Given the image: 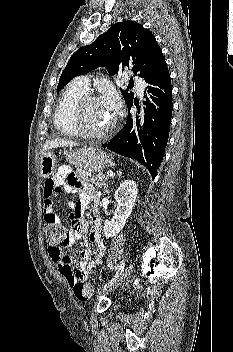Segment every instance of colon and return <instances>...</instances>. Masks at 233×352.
Wrapping results in <instances>:
<instances>
[{
    "instance_id": "colon-1",
    "label": "colon",
    "mask_w": 233,
    "mask_h": 352,
    "mask_svg": "<svg viewBox=\"0 0 233 352\" xmlns=\"http://www.w3.org/2000/svg\"><path fill=\"white\" fill-rule=\"evenodd\" d=\"M43 235L51 245L64 246L66 243L64 231L59 226L45 223L43 226ZM73 292L78 300L86 301L92 294V286L88 282L78 281L73 286Z\"/></svg>"
}]
</instances>
